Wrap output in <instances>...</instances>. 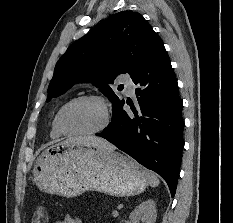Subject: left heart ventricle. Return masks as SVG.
Segmentation results:
<instances>
[{
  "mask_svg": "<svg viewBox=\"0 0 233 223\" xmlns=\"http://www.w3.org/2000/svg\"><path fill=\"white\" fill-rule=\"evenodd\" d=\"M105 122L103 107L97 101H81L72 105L65 113L66 127L77 133L92 132Z\"/></svg>",
  "mask_w": 233,
  "mask_h": 223,
  "instance_id": "left-heart-ventricle-1",
  "label": "left heart ventricle"
}]
</instances>
